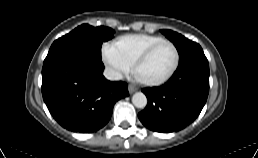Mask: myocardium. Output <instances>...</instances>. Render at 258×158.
I'll list each match as a JSON object with an SVG mask.
<instances>
[{
  "label": "myocardium",
  "mask_w": 258,
  "mask_h": 158,
  "mask_svg": "<svg viewBox=\"0 0 258 158\" xmlns=\"http://www.w3.org/2000/svg\"><path fill=\"white\" fill-rule=\"evenodd\" d=\"M163 44H169V45H171L174 48L175 55H176L175 62L173 64L172 68L163 77H161L159 79H156V80H146L145 82L147 84H150V85H160V84H163V83L167 82L174 75V73L176 72V70H177V68H178V66L180 64V53H179V50L176 47V45L173 42L169 41V40H162V41L156 43L155 45H153L152 47L148 48L141 55V57L138 59V61L134 65L135 72L138 73L140 67L147 61V59L150 57V55L157 48H159Z\"/></svg>",
  "instance_id": "obj_1"
}]
</instances>
